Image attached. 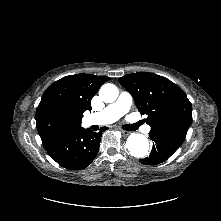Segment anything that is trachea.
<instances>
[{
	"instance_id": "1",
	"label": "trachea",
	"mask_w": 221,
	"mask_h": 221,
	"mask_svg": "<svg viewBox=\"0 0 221 221\" xmlns=\"http://www.w3.org/2000/svg\"><path fill=\"white\" fill-rule=\"evenodd\" d=\"M139 125H140V122H138L136 124H127V125H124L122 128L127 131H133V130H136Z\"/></svg>"
}]
</instances>
